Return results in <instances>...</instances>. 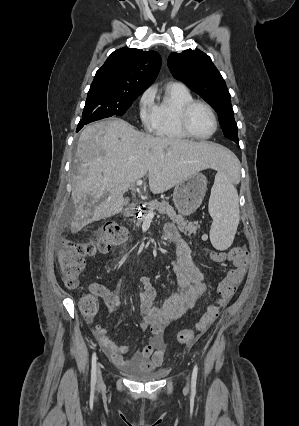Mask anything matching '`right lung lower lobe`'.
<instances>
[{"label":"right lung lower lobe","mask_w":299,"mask_h":426,"mask_svg":"<svg viewBox=\"0 0 299 426\" xmlns=\"http://www.w3.org/2000/svg\"><path fill=\"white\" fill-rule=\"evenodd\" d=\"M85 124L86 123H84V124H78L77 130L81 129L83 127V125H85Z\"/></svg>","instance_id":"1"}]
</instances>
